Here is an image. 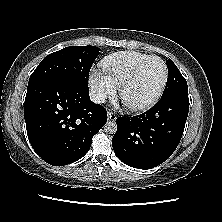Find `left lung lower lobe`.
<instances>
[{
	"instance_id": "1",
	"label": "left lung lower lobe",
	"mask_w": 222,
	"mask_h": 222,
	"mask_svg": "<svg viewBox=\"0 0 222 222\" xmlns=\"http://www.w3.org/2000/svg\"><path fill=\"white\" fill-rule=\"evenodd\" d=\"M189 111L188 92H171L148 111L133 117H118L112 139L117 157L138 169L154 168L177 148Z\"/></svg>"
}]
</instances>
